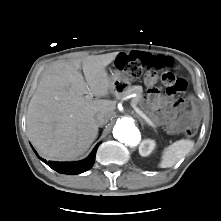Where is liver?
I'll return each mask as SVG.
<instances>
[{"mask_svg": "<svg viewBox=\"0 0 221 221\" xmlns=\"http://www.w3.org/2000/svg\"><path fill=\"white\" fill-rule=\"evenodd\" d=\"M117 55L113 52L56 61L44 70L28 105L27 131L45 158L75 159L97 137L96 115L100 113L109 119L113 116L114 102L92 100L90 95L104 97L112 91L106 67Z\"/></svg>", "mask_w": 221, "mask_h": 221, "instance_id": "liver-1", "label": "liver"}]
</instances>
